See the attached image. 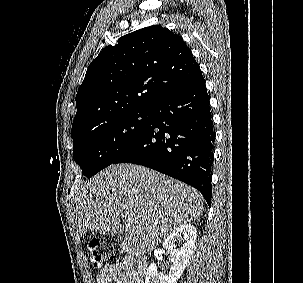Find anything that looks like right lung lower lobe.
Here are the masks:
<instances>
[{"instance_id":"right-lung-lower-lobe-1","label":"right lung lower lobe","mask_w":303,"mask_h":283,"mask_svg":"<svg viewBox=\"0 0 303 283\" xmlns=\"http://www.w3.org/2000/svg\"><path fill=\"white\" fill-rule=\"evenodd\" d=\"M148 127L113 162L143 165L183 181L211 203V167L215 132L202 77L151 109Z\"/></svg>"}]
</instances>
